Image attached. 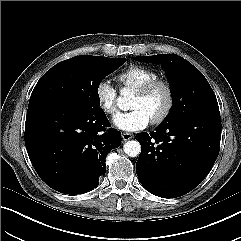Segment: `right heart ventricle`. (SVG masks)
Segmentation results:
<instances>
[{
    "label": "right heart ventricle",
    "instance_id": "1",
    "mask_svg": "<svg viewBox=\"0 0 241 241\" xmlns=\"http://www.w3.org/2000/svg\"><path fill=\"white\" fill-rule=\"evenodd\" d=\"M158 77V73L151 68L141 65H131L122 70L118 74L117 79L124 88L136 90Z\"/></svg>",
    "mask_w": 241,
    "mask_h": 241
}]
</instances>
